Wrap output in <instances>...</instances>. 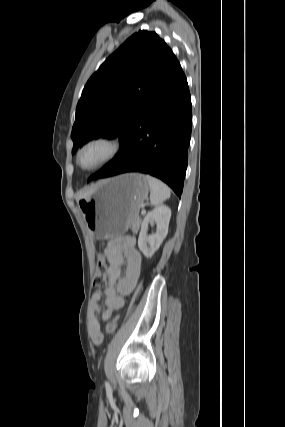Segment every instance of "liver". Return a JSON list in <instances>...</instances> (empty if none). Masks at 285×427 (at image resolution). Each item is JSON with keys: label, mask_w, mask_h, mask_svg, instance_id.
Segmentation results:
<instances>
[{"label": "liver", "mask_w": 285, "mask_h": 427, "mask_svg": "<svg viewBox=\"0 0 285 427\" xmlns=\"http://www.w3.org/2000/svg\"><path fill=\"white\" fill-rule=\"evenodd\" d=\"M95 188H96V186H93V187L88 188V189L80 190L79 192H77L76 196L78 198L88 197V196H90L92 194V192L94 191Z\"/></svg>", "instance_id": "1"}]
</instances>
